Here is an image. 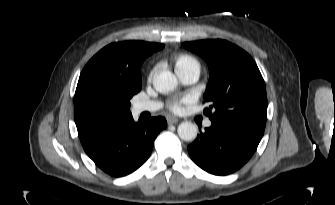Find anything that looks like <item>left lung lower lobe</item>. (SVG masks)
Returning <instances> with one entry per match:
<instances>
[{"label":"left lung lower lobe","instance_id":"0a47b994","mask_svg":"<svg viewBox=\"0 0 335 205\" xmlns=\"http://www.w3.org/2000/svg\"><path fill=\"white\" fill-rule=\"evenodd\" d=\"M188 146L192 160L214 175H228L241 168L253 155L264 131L247 125L214 118Z\"/></svg>","mask_w":335,"mask_h":205}]
</instances>
